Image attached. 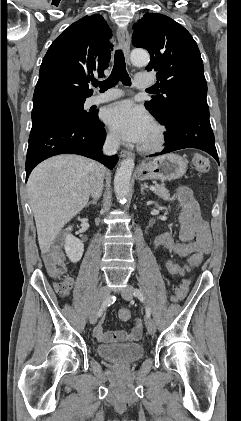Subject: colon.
Masks as SVG:
<instances>
[{
	"label": "colon",
	"instance_id": "5ec220e1",
	"mask_svg": "<svg viewBox=\"0 0 241 421\" xmlns=\"http://www.w3.org/2000/svg\"><path fill=\"white\" fill-rule=\"evenodd\" d=\"M193 165L199 173H206L210 168V162L208 158L204 155L196 153L192 158ZM44 263L48 273L56 278L65 277L66 266L64 261V255L59 248L52 247L46 250L43 254ZM203 261V255L195 254L191 256L186 265H180L173 261H165L163 263L164 269L171 275H183L190 269L197 268ZM69 278H65L62 282L58 283L57 286L62 287L63 284ZM190 285V280L188 278L184 279L182 283L176 287L174 296L177 300L183 299L188 293ZM120 319L127 321L131 317V313L127 308H122L119 310Z\"/></svg>",
	"mask_w": 241,
	"mask_h": 421
}]
</instances>
